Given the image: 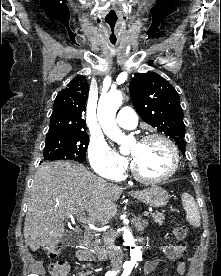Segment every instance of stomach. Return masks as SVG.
Wrapping results in <instances>:
<instances>
[{"label": "stomach", "mask_w": 221, "mask_h": 276, "mask_svg": "<svg viewBox=\"0 0 221 276\" xmlns=\"http://www.w3.org/2000/svg\"><path fill=\"white\" fill-rule=\"evenodd\" d=\"M132 196L151 207H163L169 200L167 191L159 186H152L142 191H136Z\"/></svg>", "instance_id": "0dacf381"}]
</instances>
